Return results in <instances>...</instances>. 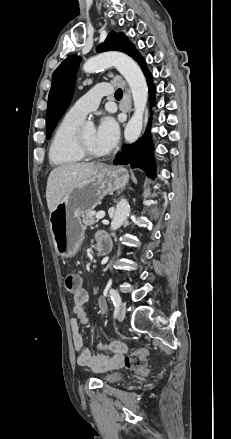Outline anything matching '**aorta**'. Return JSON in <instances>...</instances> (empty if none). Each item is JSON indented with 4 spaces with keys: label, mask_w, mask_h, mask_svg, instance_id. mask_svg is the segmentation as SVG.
Here are the masks:
<instances>
[{
    "label": "aorta",
    "mask_w": 231,
    "mask_h": 439,
    "mask_svg": "<svg viewBox=\"0 0 231 439\" xmlns=\"http://www.w3.org/2000/svg\"><path fill=\"white\" fill-rule=\"evenodd\" d=\"M116 67L126 79L133 98L134 114L128 121L124 137L129 143L135 142L141 134L143 127V115L148 99L146 79L138 64L128 55L122 52H105L89 58L83 65L86 73H93L101 69ZM93 126L92 123H88ZM130 213V205L126 199L118 202L111 222V230H117L126 220Z\"/></svg>",
    "instance_id": "1"
}]
</instances>
